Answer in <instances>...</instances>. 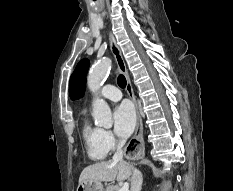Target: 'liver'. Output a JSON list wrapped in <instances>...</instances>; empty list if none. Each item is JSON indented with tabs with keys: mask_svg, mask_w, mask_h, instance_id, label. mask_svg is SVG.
I'll return each instance as SVG.
<instances>
[{
	"mask_svg": "<svg viewBox=\"0 0 233 191\" xmlns=\"http://www.w3.org/2000/svg\"><path fill=\"white\" fill-rule=\"evenodd\" d=\"M131 170L126 162H114L112 160L98 162L83 169L79 177V184L94 181H123L131 176Z\"/></svg>",
	"mask_w": 233,
	"mask_h": 191,
	"instance_id": "6515ba94",
	"label": "liver"
}]
</instances>
